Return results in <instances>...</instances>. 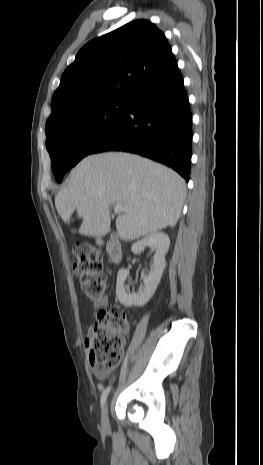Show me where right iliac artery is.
Returning a JSON list of instances; mask_svg holds the SVG:
<instances>
[{"label": "right iliac artery", "instance_id": "right-iliac-artery-1", "mask_svg": "<svg viewBox=\"0 0 263 465\" xmlns=\"http://www.w3.org/2000/svg\"><path fill=\"white\" fill-rule=\"evenodd\" d=\"M110 390H111V386L106 387V389L103 391V393L101 395V406L102 407L104 406V404L106 402V398H107Z\"/></svg>", "mask_w": 263, "mask_h": 465}]
</instances>
